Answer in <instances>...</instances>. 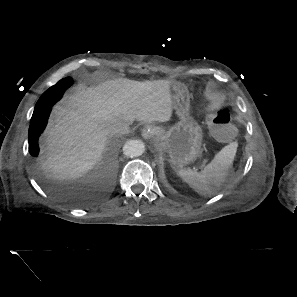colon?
I'll return each instance as SVG.
<instances>
[{
	"label": "colon",
	"instance_id": "colon-1",
	"mask_svg": "<svg viewBox=\"0 0 297 297\" xmlns=\"http://www.w3.org/2000/svg\"><path fill=\"white\" fill-rule=\"evenodd\" d=\"M209 126L220 140H229L235 133V127L230 122V115L226 109H219L208 115Z\"/></svg>",
	"mask_w": 297,
	"mask_h": 297
}]
</instances>
